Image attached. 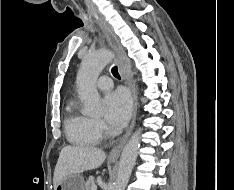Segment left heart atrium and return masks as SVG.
Returning a JSON list of instances; mask_svg holds the SVG:
<instances>
[{
    "instance_id": "left-heart-atrium-1",
    "label": "left heart atrium",
    "mask_w": 234,
    "mask_h": 190,
    "mask_svg": "<svg viewBox=\"0 0 234 190\" xmlns=\"http://www.w3.org/2000/svg\"><path fill=\"white\" fill-rule=\"evenodd\" d=\"M104 102L107 121L114 126L125 124L132 109L129 93L124 89H117L107 93Z\"/></svg>"
}]
</instances>
